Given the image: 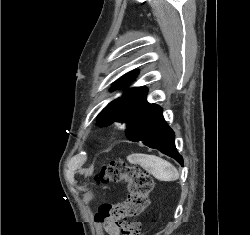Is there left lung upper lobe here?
I'll use <instances>...</instances> for the list:
<instances>
[{
    "instance_id": "obj_1",
    "label": "left lung upper lobe",
    "mask_w": 250,
    "mask_h": 235,
    "mask_svg": "<svg viewBox=\"0 0 250 235\" xmlns=\"http://www.w3.org/2000/svg\"><path fill=\"white\" fill-rule=\"evenodd\" d=\"M137 72L127 73L114 83L111 90L125 89L136 77ZM145 87L125 89L123 95L110 102L98 115L97 124L101 126L110 125L115 120L127 122L129 110L133 103L138 99Z\"/></svg>"
}]
</instances>
